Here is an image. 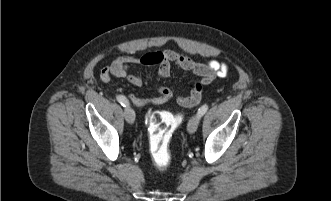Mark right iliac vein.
Listing matches in <instances>:
<instances>
[{
  "label": "right iliac vein",
  "instance_id": "obj_1",
  "mask_svg": "<svg viewBox=\"0 0 331 201\" xmlns=\"http://www.w3.org/2000/svg\"><path fill=\"white\" fill-rule=\"evenodd\" d=\"M124 115H125L126 121L129 124L134 123V121H135V112L133 111V109L129 105L125 107Z\"/></svg>",
  "mask_w": 331,
  "mask_h": 201
}]
</instances>
